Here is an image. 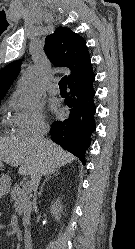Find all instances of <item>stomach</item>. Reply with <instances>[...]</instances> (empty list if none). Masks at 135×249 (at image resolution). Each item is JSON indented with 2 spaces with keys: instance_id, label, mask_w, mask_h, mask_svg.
<instances>
[{
  "instance_id": "1",
  "label": "stomach",
  "mask_w": 135,
  "mask_h": 249,
  "mask_svg": "<svg viewBox=\"0 0 135 249\" xmlns=\"http://www.w3.org/2000/svg\"><path fill=\"white\" fill-rule=\"evenodd\" d=\"M2 166H3V164H2V162L0 161V169L2 168Z\"/></svg>"
}]
</instances>
